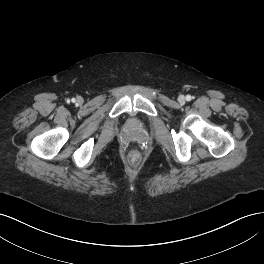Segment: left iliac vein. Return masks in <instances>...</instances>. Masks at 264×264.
<instances>
[{
    "mask_svg": "<svg viewBox=\"0 0 264 264\" xmlns=\"http://www.w3.org/2000/svg\"><path fill=\"white\" fill-rule=\"evenodd\" d=\"M178 101H179L180 103H184V102H185V96H184V95H180V96L178 97Z\"/></svg>",
    "mask_w": 264,
    "mask_h": 264,
    "instance_id": "obj_1",
    "label": "left iliac vein"
}]
</instances>
